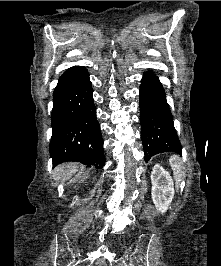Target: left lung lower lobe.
Returning a JSON list of instances; mask_svg holds the SVG:
<instances>
[{"mask_svg": "<svg viewBox=\"0 0 221 266\" xmlns=\"http://www.w3.org/2000/svg\"><path fill=\"white\" fill-rule=\"evenodd\" d=\"M140 86V123L145 162L162 152L182 154L181 143L158 77L147 71Z\"/></svg>", "mask_w": 221, "mask_h": 266, "instance_id": "0a47b994", "label": "left lung lower lobe"}]
</instances>
